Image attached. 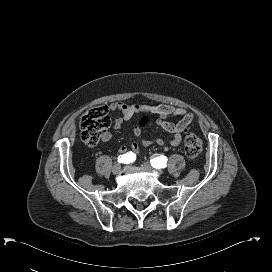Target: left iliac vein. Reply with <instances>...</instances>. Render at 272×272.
Wrapping results in <instances>:
<instances>
[{"label": "left iliac vein", "instance_id": "4c4485c4", "mask_svg": "<svg viewBox=\"0 0 272 272\" xmlns=\"http://www.w3.org/2000/svg\"><path fill=\"white\" fill-rule=\"evenodd\" d=\"M143 166H144L145 168H147V169H150V168H151V165H150L149 163H147V162L144 163ZM156 171H157L158 174H162V173H163V170L160 169V168H156Z\"/></svg>", "mask_w": 272, "mask_h": 272}]
</instances>
